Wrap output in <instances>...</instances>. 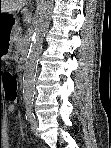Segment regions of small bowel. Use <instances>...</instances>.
<instances>
[{
    "mask_svg": "<svg viewBox=\"0 0 111 148\" xmlns=\"http://www.w3.org/2000/svg\"><path fill=\"white\" fill-rule=\"evenodd\" d=\"M15 110V105L11 104L9 107H8V111L9 112H13Z\"/></svg>",
    "mask_w": 111,
    "mask_h": 148,
    "instance_id": "small-bowel-1",
    "label": "small bowel"
}]
</instances>
